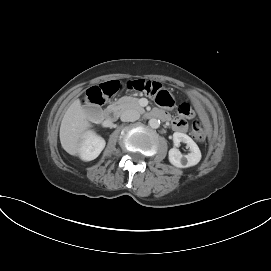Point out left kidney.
<instances>
[{"mask_svg":"<svg viewBox=\"0 0 271 271\" xmlns=\"http://www.w3.org/2000/svg\"><path fill=\"white\" fill-rule=\"evenodd\" d=\"M174 146L169 150V161L172 165L178 168H187L197 165L201 160V151L198 145L193 141L191 137L184 133L175 132L173 134ZM180 142L186 143L190 149V153L182 155L178 147Z\"/></svg>","mask_w":271,"mask_h":271,"instance_id":"obj_1","label":"left kidney"}]
</instances>
